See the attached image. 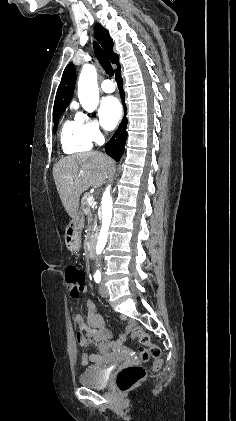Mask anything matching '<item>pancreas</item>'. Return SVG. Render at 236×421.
I'll return each instance as SVG.
<instances>
[{
  "label": "pancreas",
  "mask_w": 236,
  "mask_h": 421,
  "mask_svg": "<svg viewBox=\"0 0 236 421\" xmlns=\"http://www.w3.org/2000/svg\"><path fill=\"white\" fill-rule=\"evenodd\" d=\"M88 196H89V192H85L81 202H82V211L84 215H87L88 223H91L93 219H92V211L88 204ZM96 225H97V221H94V225H92V229H95Z\"/></svg>",
  "instance_id": "obj_1"
}]
</instances>
